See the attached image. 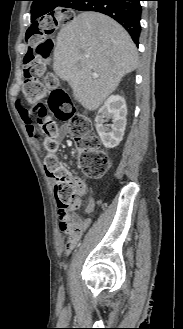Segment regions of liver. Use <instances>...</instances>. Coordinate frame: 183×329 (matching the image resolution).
I'll list each match as a JSON object with an SVG mask.
<instances>
[{
	"label": "liver",
	"instance_id": "obj_1",
	"mask_svg": "<svg viewBox=\"0 0 183 329\" xmlns=\"http://www.w3.org/2000/svg\"><path fill=\"white\" fill-rule=\"evenodd\" d=\"M53 56L55 74L68 81L75 99L89 111L98 109L138 64L127 31L96 12L81 13L61 28Z\"/></svg>",
	"mask_w": 183,
	"mask_h": 329
}]
</instances>
